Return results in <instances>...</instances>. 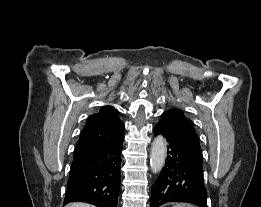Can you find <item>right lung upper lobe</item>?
Returning <instances> with one entry per match:
<instances>
[{
    "label": "right lung upper lobe",
    "mask_w": 261,
    "mask_h": 207,
    "mask_svg": "<svg viewBox=\"0 0 261 207\" xmlns=\"http://www.w3.org/2000/svg\"><path fill=\"white\" fill-rule=\"evenodd\" d=\"M124 124L118 118V111L105 106L88 117L74 154L88 152L113 144L124 137Z\"/></svg>",
    "instance_id": "obj_1"
}]
</instances>
